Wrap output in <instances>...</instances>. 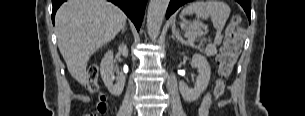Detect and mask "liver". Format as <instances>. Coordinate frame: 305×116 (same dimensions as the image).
I'll return each mask as SVG.
<instances>
[{
  "label": "liver",
  "instance_id": "liver-1",
  "mask_svg": "<svg viewBox=\"0 0 305 116\" xmlns=\"http://www.w3.org/2000/svg\"><path fill=\"white\" fill-rule=\"evenodd\" d=\"M126 19L119 7L106 0H67L60 6L55 16L58 47L80 84H86L91 55L114 39Z\"/></svg>",
  "mask_w": 305,
  "mask_h": 116
}]
</instances>
